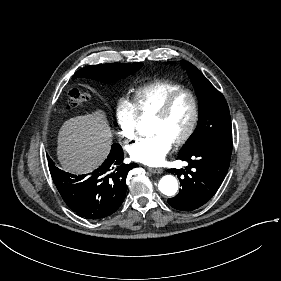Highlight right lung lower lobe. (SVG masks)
Masks as SVG:
<instances>
[{
  "label": "right lung lower lobe",
  "mask_w": 281,
  "mask_h": 281,
  "mask_svg": "<svg viewBox=\"0 0 281 281\" xmlns=\"http://www.w3.org/2000/svg\"><path fill=\"white\" fill-rule=\"evenodd\" d=\"M48 159L51 176L63 200L86 219L104 218L121 206L126 195L127 174L138 166L123 163V150L117 143L112 145L102 165L88 176L61 171Z\"/></svg>",
  "instance_id": "obj_1"
}]
</instances>
